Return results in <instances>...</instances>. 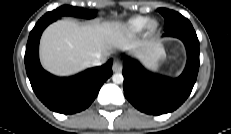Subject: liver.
Wrapping results in <instances>:
<instances>
[{
    "label": "liver",
    "instance_id": "obj_1",
    "mask_svg": "<svg viewBox=\"0 0 231 134\" xmlns=\"http://www.w3.org/2000/svg\"><path fill=\"white\" fill-rule=\"evenodd\" d=\"M114 48L130 50L145 63L162 51L159 43L137 50L135 42L115 22L79 25L60 20L43 32L40 59L49 72L68 76L91 66L94 59H105Z\"/></svg>",
    "mask_w": 231,
    "mask_h": 134
}]
</instances>
